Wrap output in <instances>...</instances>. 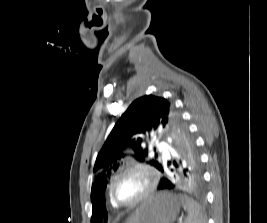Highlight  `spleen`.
Listing matches in <instances>:
<instances>
[{
	"label": "spleen",
	"mask_w": 267,
	"mask_h": 223,
	"mask_svg": "<svg viewBox=\"0 0 267 223\" xmlns=\"http://www.w3.org/2000/svg\"><path fill=\"white\" fill-rule=\"evenodd\" d=\"M181 203L188 216L184 223H206V216L201 206L192 198L187 195H179Z\"/></svg>",
	"instance_id": "3e777b00"
}]
</instances>
